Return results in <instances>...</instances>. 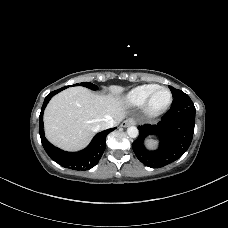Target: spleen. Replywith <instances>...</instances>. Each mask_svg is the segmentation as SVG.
I'll list each match as a JSON object with an SVG mask.
<instances>
[{"label": "spleen", "mask_w": 228, "mask_h": 228, "mask_svg": "<svg viewBox=\"0 0 228 228\" xmlns=\"http://www.w3.org/2000/svg\"><path fill=\"white\" fill-rule=\"evenodd\" d=\"M157 141L153 140V139H148L145 142V145L149 148V149H155L157 146Z\"/></svg>", "instance_id": "obj_1"}]
</instances>
